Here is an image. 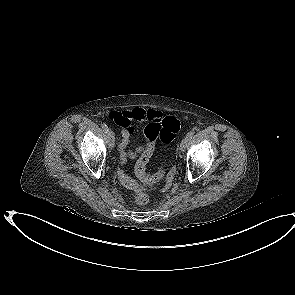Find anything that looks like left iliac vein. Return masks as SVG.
Here are the masks:
<instances>
[{
  "instance_id": "obj_1",
  "label": "left iliac vein",
  "mask_w": 295,
  "mask_h": 295,
  "mask_svg": "<svg viewBox=\"0 0 295 295\" xmlns=\"http://www.w3.org/2000/svg\"><path fill=\"white\" fill-rule=\"evenodd\" d=\"M189 138H187V137H185L182 141H181V143H180V146H179V150H180V152H183L185 149H186V147L188 146V144H189Z\"/></svg>"
}]
</instances>
